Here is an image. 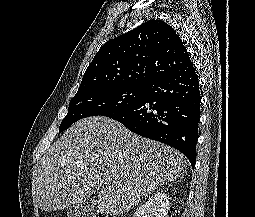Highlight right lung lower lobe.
I'll list each match as a JSON object with an SVG mask.
<instances>
[{
    "mask_svg": "<svg viewBox=\"0 0 255 217\" xmlns=\"http://www.w3.org/2000/svg\"><path fill=\"white\" fill-rule=\"evenodd\" d=\"M201 96L191 61L146 86L127 109L106 115L143 137L173 146L194 169Z\"/></svg>",
    "mask_w": 255,
    "mask_h": 217,
    "instance_id": "right-lung-lower-lobe-1",
    "label": "right lung lower lobe"
}]
</instances>
